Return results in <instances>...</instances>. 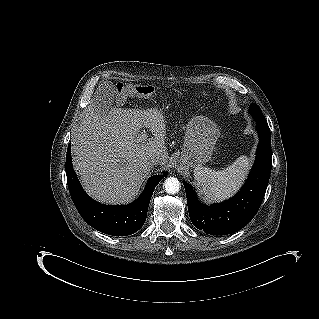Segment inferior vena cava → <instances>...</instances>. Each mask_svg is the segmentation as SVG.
Instances as JSON below:
<instances>
[{
    "label": "inferior vena cava",
    "mask_w": 319,
    "mask_h": 319,
    "mask_svg": "<svg viewBox=\"0 0 319 319\" xmlns=\"http://www.w3.org/2000/svg\"><path fill=\"white\" fill-rule=\"evenodd\" d=\"M147 163L151 167L156 166V165H160L161 158H160V156H152L148 159Z\"/></svg>",
    "instance_id": "obj_1"
}]
</instances>
